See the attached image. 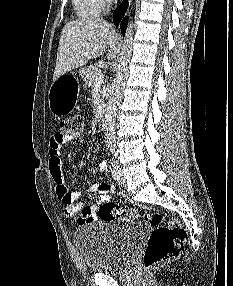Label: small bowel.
I'll list each match as a JSON object with an SVG mask.
<instances>
[{"label": "small bowel", "mask_w": 233, "mask_h": 286, "mask_svg": "<svg viewBox=\"0 0 233 286\" xmlns=\"http://www.w3.org/2000/svg\"><path fill=\"white\" fill-rule=\"evenodd\" d=\"M71 141V139H63L59 135L54 134L50 141L49 146V170L51 176L56 184V194L62 203V213L67 217L77 215L79 223H89L97 219L95 215L96 206L107 202L110 194L114 192V185L108 182H96L89 186L88 192L99 194V201L94 205H82L76 203L80 197L79 191L69 189L65 183L63 175V160H62V146L65 142ZM79 144H83V140L77 141ZM100 170H106V163L99 164Z\"/></svg>", "instance_id": "c3829d8e"}]
</instances>
